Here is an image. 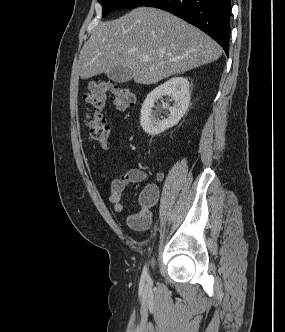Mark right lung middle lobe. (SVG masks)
I'll return each mask as SVG.
<instances>
[{"mask_svg": "<svg viewBox=\"0 0 285 332\" xmlns=\"http://www.w3.org/2000/svg\"><path fill=\"white\" fill-rule=\"evenodd\" d=\"M103 7L102 15L105 17L111 11L121 8H135L142 6L147 0H98Z\"/></svg>", "mask_w": 285, "mask_h": 332, "instance_id": "1", "label": "right lung middle lobe"}]
</instances>
